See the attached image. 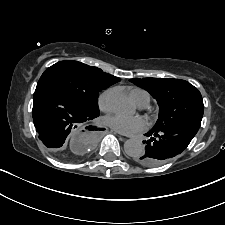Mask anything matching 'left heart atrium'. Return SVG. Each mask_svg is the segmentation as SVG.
<instances>
[{
	"label": "left heart atrium",
	"instance_id": "left-heart-atrium-1",
	"mask_svg": "<svg viewBox=\"0 0 225 225\" xmlns=\"http://www.w3.org/2000/svg\"><path fill=\"white\" fill-rule=\"evenodd\" d=\"M107 126L122 134H133L145 129L146 123L140 116L111 114L105 118Z\"/></svg>",
	"mask_w": 225,
	"mask_h": 225
}]
</instances>
